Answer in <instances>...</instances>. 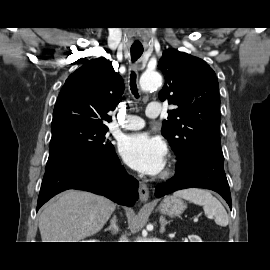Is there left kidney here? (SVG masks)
I'll return each mask as SVG.
<instances>
[{"instance_id": "left-kidney-1", "label": "left kidney", "mask_w": 270, "mask_h": 270, "mask_svg": "<svg viewBox=\"0 0 270 270\" xmlns=\"http://www.w3.org/2000/svg\"><path fill=\"white\" fill-rule=\"evenodd\" d=\"M191 240H195L194 242H202L201 239L198 236L192 235L190 236Z\"/></svg>"}]
</instances>
